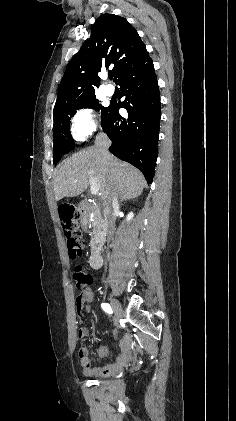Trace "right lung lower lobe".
<instances>
[{"instance_id": "98d812e1", "label": "right lung lower lobe", "mask_w": 236, "mask_h": 421, "mask_svg": "<svg viewBox=\"0 0 236 421\" xmlns=\"http://www.w3.org/2000/svg\"><path fill=\"white\" fill-rule=\"evenodd\" d=\"M116 83L125 100L111 102L102 118L103 131L112 141L109 151L140 169L150 184L158 154L161 107L149 55L122 71ZM120 107L127 110L126 118L118 113Z\"/></svg>"}]
</instances>
